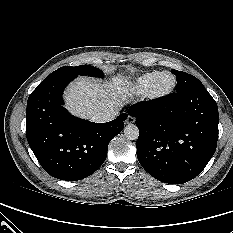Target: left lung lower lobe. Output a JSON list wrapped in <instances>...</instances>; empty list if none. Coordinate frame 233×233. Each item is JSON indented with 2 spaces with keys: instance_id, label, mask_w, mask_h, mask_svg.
Wrapping results in <instances>:
<instances>
[{
  "instance_id": "1",
  "label": "left lung lower lobe",
  "mask_w": 233,
  "mask_h": 233,
  "mask_svg": "<svg viewBox=\"0 0 233 233\" xmlns=\"http://www.w3.org/2000/svg\"><path fill=\"white\" fill-rule=\"evenodd\" d=\"M128 113L139 128L138 160L159 181L188 182L215 153L218 107L204 86L136 103Z\"/></svg>"
}]
</instances>
